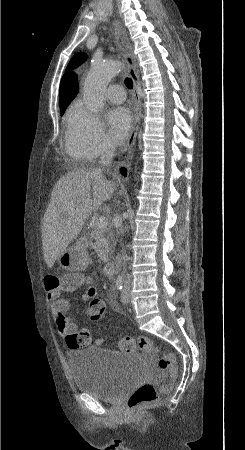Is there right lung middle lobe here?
<instances>
[{
    "mask_svg": "<svg viewBox=\"0 0 245 450\" xmlns=\"http://www.w3.org/2000/svg\"><path fill=\"white\" fill-rule=\"evenodd\" d=\"M65 109H66V107L60 109L61 110V114L64 113Z\"/></svg>",
    "mask_w": 245,
    "mask_h": 450,
    "instance_id": "1",
    "label": "right lung middle lobe"
}]
</instances>
